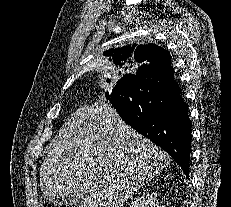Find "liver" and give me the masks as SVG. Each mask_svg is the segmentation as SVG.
I'll return each mask as SVG.
<instances>
[{
  "label": "liver",
  "instance_id": "1",
  "mask_svg": "<svg viewBox=\"0 0 231 207\" xmlns=\"http://www.w3.org/2000/svg\"><path fill=\"white\" fill-rule=\"evenodd\" d=\"M169 162L105 102L76 110L49 146L40 187L50 199L74 196L80 207H122Z\"/></svg>",
  "mask_w": 231,
  "mask_h": 207
}]
</instances>
